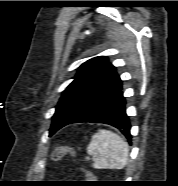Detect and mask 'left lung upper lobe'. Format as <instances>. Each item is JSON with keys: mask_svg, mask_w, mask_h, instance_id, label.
<instances>
[{"mask_svg": "<svg viewBox=\"0 0 178 186\" xmlns=\"http://www.w3.org/2000/svg\"><path fill=\"white\" fill-rule=\"evenodd\" d=\"M121 88L122 80L107 57L98 56L86 61L79 67L74 81L64 90L56 106L49 135Z\"/></svg>", "mask_w": 178, "mask_h": 186, "instance_id": "obj_1", "label": "left lung upper lobe"}]
</instances>
